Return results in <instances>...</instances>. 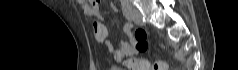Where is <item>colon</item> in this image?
I'll return each instance as SVG.
<instances>
[{
    "label": "colon",
    "instance_id": "1",
    "mask_svg": "<svg viewBox=\"0 0 238 70\" xmlns=\"http://www.w3.org/2000/svg\"><path fill=\"white\" fill-rule=\"evenodd\" d=\"M95 2V1H94ZM134 38L136 39V48L138 51H145L148 47L147 44V32L138 28L134 32ZM115 54V59H124V54H119L121 51L118 49ZM125 66L129 70H167L169 68V63L155 62L151 63L146 59H135L131 58L124 62Z\"/></svg>",
    "mask_w": 238,
    "mask_h": 70
}]
</instances>
